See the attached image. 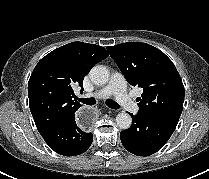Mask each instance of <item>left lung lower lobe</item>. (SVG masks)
<instances>
[{
	"mask_svg": "<svg viewBox=\"0 0 209 179\" xmlns=\"http://www.w3.org/2000/svg\"><path fill=\"white\" fill-rule=\"evenodd\" d=\"M132 116V126L121 131L123 146L137 156H149L160 150L174 132L177 118L155 115L139 110Z\"/></svg>",
	"mask_w": 209,
	"mask_h": 179,
	"instance_id": "left-lung-lower-lobe-1",
	"label": "left lung lower lobe"
}]
</instances>
